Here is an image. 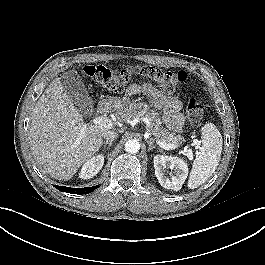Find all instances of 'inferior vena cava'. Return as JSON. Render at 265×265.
<instances>
[{
    "mask_svg": "<svg viewBox=\"0 0 265 265\" xmlns=\"http://www.w3.org/2000/svg\"><path fill=\"white\" fill-rule=\"evenodd\" d=\"M102 137L106 140H114L118 137V133L115 131H107L102 134Z\"/></svg>",
    "mask_w": 265,
    "mask_h": 265,
    "instance_id": "obj_1",
    "label": "inferior vena cava"
}]
</instances>
